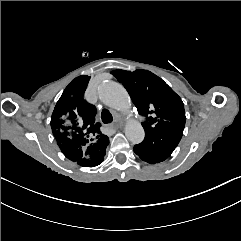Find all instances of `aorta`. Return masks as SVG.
I'll use <instances>...</instances> for the list:
<instances>
[{
	"label": "aorta",
	"instance_id": "1",
	"mask_svg": "<svg viewBox=\"0 0 241 241\" xmlns=\"http://www.w3.org/2000/svg\"><path fill=\"white\" fill-rule=\"evenodd\" d=\"M98 94L101 100L109 107L119 111L129 109L131 105L130 97L126 89L119 83L110 81L98 87ZM125 135L133 144L143 141L145 132L142 125L136 121H128L125 126Z\"/></svg>",
	"mask_w": 241,
	"mask_h": 241
}]
</instances>
